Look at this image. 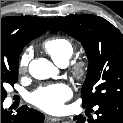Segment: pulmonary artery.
<instances>
[{
  "mask_svg": "<svg viewBox=\"0 0 123 123\" xmlns=\"http://www.w3.org/2000/svg\"><path fill=\"white\" fill-rule=\"evenodd\" d=\"M60 66L65 67V66H66V63H63V64H61Z\"/></svg>",
  "mask_w": 123,
  "mask_h": 123,
  "instance_id": "e3ab8cb5",
  "label": "pulmonary artery"
}]
</instances>
